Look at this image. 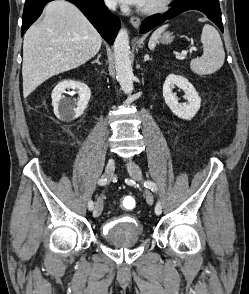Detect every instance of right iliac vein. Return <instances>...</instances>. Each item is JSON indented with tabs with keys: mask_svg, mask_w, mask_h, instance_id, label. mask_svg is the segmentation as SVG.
I'll use <instances>...</instances> for the list:
<instances>
[{
	"mask_svg": "<svg viewBox=\"0 0 249 294\" xmlns=\"http://www.w3.org/2000/svg\"><path fill=\"white\" fill-rule=\"evenodd\" d=\"M115 171V160L113 158H111L105 167V172H104V176L107 180H110L113 177ZM103 211V198L100 197L95 205L94 211H93V216L99 217L101 215Z\"/></svg>",
	"mask_w": 249,
	"mask_h": 294,
	"instance_id": "63e3f726",
	"label": "right iliac vein"
}]
</instances>
